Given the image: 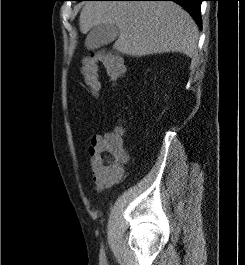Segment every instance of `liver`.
<instances>
[{"label": "liver", "instance_id": "6515ba94", "mask_svg": "<svg viewBox=\"0 0 245 265\" xmlns=\"http://www.w3.org/2000/svg\"><path fill=\"white\" fill-rule=\"evenodd\" d=\"M99 24H113L119 38L113 48L130 56L180 52L194 57L198 27L187 11L170 1H88L79 18L86 34ZM87 45V42H86Z\"/></svg>", "mask_w": 245, "mask_h": 265}]
</instances>
